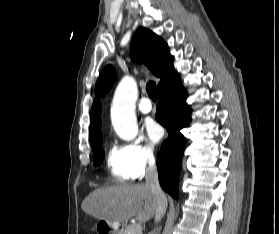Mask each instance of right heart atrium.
Returning a JSON list of instances; mask_svg holds the SVG:
<instances>
[{
  "label": "right heart atrium",
  "mask_w": 279,
  "mask_h": 234,
  "mask_svg": "<svg viewBox=\"0 0 279 234\" xmlns=\"http://www.w3.org/2000/svg\"><path fill=\"white\" fill-rule=\"evenodd\" d=\"M134 178L142 177L156 162V151L152 144L138 139L125 146Z\"/></svg>",
  "instance_id": "1"
}]
</instances>
